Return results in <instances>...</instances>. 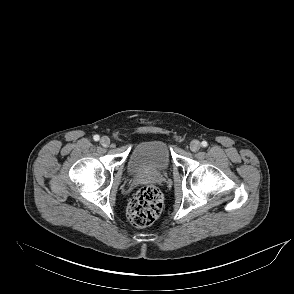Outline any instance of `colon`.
Listing matches in <instances>:
<instances>
[{
	"label": "colon",
	"instance_id": "colon-1",
	"mask_svg": "<svg viewBox=\"0 0 294 294\" xmlns=\"http://www.w3.org/2000/svg\"><path fill=\"white\" fill-rule=\"evenodd\" d=\"M163 197L160 190L148 185L140 188L127 208L128 220L136 227L151 225L160 215Z\"/></svg>",
	"mask_w": 294,
	"mask_h": 294
}]
</instances>
